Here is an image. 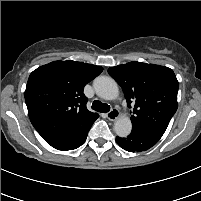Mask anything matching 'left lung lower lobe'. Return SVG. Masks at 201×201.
<instances>
[{"mask_svg": "<svg viewBox=\"0 0 201 201\" xmlns=\"http://www.w3.org/2000/svg\"><path fill=\"white\" fill-rule=\"evenodd\" d=\"M164 132L153 129H132V133L126 138L116 137L118 145L129 152L146 151L155 145Z\"/></svg>", "mask_w": 201, "mask_h": 201, "instance_id": "0a47b994", "label": "left lung lower lobe"}]
</instances>
